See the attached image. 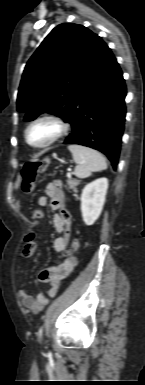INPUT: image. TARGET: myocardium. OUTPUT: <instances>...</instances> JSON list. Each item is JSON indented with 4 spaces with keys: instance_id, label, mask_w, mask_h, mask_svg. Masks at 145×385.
<instances>
[{
    "instance_id": "1",
    "label": "myocardium",
    "mask_w": 145,
    "mask_h": 385,
    "mask_svg": "<svg viewBox=\"0 0 145 385\" xmlns=\"http://www.w3.org/2000/svg\"><path fill=\"white\" fill-rule=\"evenodd\" d=\"M41 122H50V123L54 124L57 128V131H56L55 135L51 139H49L47 142H45L43 144H33L29 140V132L33 126H35L36 124L41 123ZM68 131H69L68 123L63 118H61L60 116H57L55 114H42V115L37 116L36 118H34L33 120H31L29 122V124L27 125V127L25 129L24 137H25L26 143L30 147L35 148V149H44V148H47V147L53 145L54 143H56L60 139H62L68 133Z\"/></svg>"
}]
</instances>
